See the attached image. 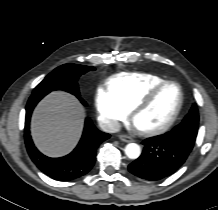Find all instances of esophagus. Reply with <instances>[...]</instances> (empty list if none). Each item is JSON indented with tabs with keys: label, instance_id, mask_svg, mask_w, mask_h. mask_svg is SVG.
<instances>
[{
	"label": "esophagus",
	"instance_id": "esophagus-1",
	"mask_svg": "<svg viewBox=\"0 0 218 210\" xmlns=\"http://www.w3.org/2000/svg\"><path fill=\"white\" fill-rule=\"evenodd\" d=\"M119 139L121 141H124V142H132L133 141V139L128 135H120Z\"/></svg>",
	"mask_w": 218,
	"mask_h": 210
}]
</instances>
